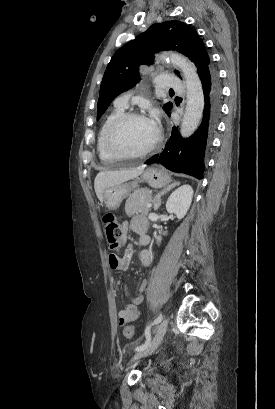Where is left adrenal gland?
<instances>
[{"mask_svg": "<svg viewBox=\"0 0 275 409\" xmlns=\"http://www.w3.org/2000/svg\"><path fill=\"white\" fill-rule=\"evenodd\" d=\"M178 184H180L179 180H173V182H171V184H168V186H165V188H163V190H161V192H158V194H156L154 200H153V209L154 211H157V209H159L160 205H161V196L162 194H165V192H168V190H171V188H174V186H178Z\"/></svg>", "mask_w": 275, "mask_h": 409, "instance_id": "1", "label": "left adrenal gland"}]
</instances>
